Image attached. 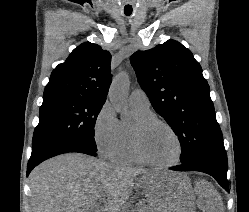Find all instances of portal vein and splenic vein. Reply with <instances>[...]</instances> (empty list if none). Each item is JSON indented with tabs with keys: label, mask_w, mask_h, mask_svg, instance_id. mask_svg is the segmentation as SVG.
I'll use <instances>...</instances> for the list:
<instances>
[{
	"label": "portal vein and splenic vein",
	"mask_w": 249,
	"mask_h": 212,
	"mask_svg": "<svg viewBox=\"0 0 249 212\" xmlns=\"http://www.w3.org/2000/svg\"><path fill=\"white\" fill-rule=\"evenodd\" d=\"M93 206H95V208H99V204H93Z\"/></svg>",
	"instance_id": "18ae733b"
}]
</instances>
